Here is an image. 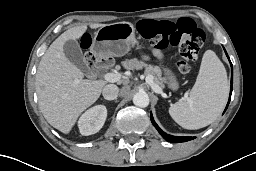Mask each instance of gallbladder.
<instances>
[{"label":"gallbladder","instance_id":"obj_1","mask_svg":"<svg viewBox=\"0 0 256 171\" xmlns=\"http://www.w3.org/2000/svg\"><path fill=\"white\" fill-rule=\"evenodd\" d=\"M63 50L66 58L72 62L82 72L88 73L90 67L86 62L83 52L76 40H68L63 45Z\"/></svg>","mask_w":256,"mask_h":171}]
</instances>
